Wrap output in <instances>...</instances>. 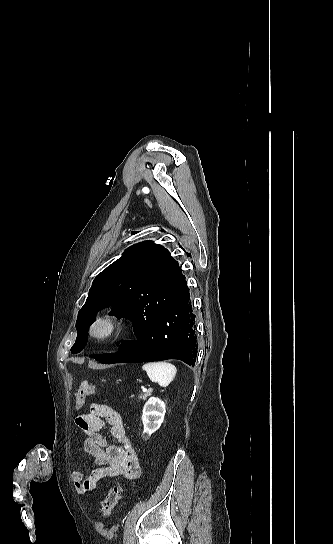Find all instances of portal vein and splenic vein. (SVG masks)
Masks as SVG:
<instances>
[{
	"mask_svg": "<svg viewBox=\"0 0 333 544\" xmlns=\"http://www.w3.org/2000/svg\"><path fill=\"white\" fill-rule=\"evenodd\" d=\"M143 391H147V389H143ZM148 391H151V388H149Z\"/></svg>",
	"mask_w": 333,
	"mask_h": 544,
	"instance_id": "1",
	"label": "portal vein and splenic vein"
}]
</instances>
